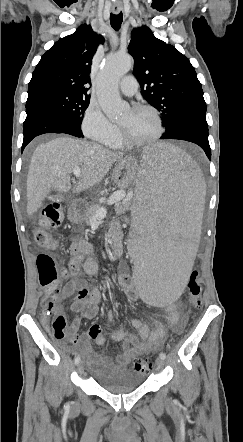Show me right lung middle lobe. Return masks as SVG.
<instances>
[{"instance_id": "dd1d6c3e", "label": "right lung middle lobe", "mask_w": 243, "mask_h": 442, "mask_svg": "<svg viewBox=\"0 0 243 442\" xmlns=\"http://www.w3.org/2000/svg\"><path fill=\"white\" fill-rule=\"evenodd\" d=\"M90 98L62 91H49L28 97L26 107L31 105L50 106L70 119L81 128L83 114L87 109Z\"/></svg>"}]
</instances>
